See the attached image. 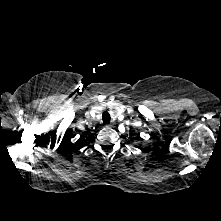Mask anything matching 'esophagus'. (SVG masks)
<instances>
[{"label": "esophagus", "instance_id": "obj_1", "mask_svg": "<svg viewBox=\"0 0 221 221\" xmlns=\"http://www.w3.org/2000/svg\"><path fill=\"white\" fill-rule=\"evenodd\" d=\"M105 126H106L107 128L112 127V125H110V124H106Z\"/></svg>", "mask_w": 221, "mask_h": 221}]
</instances>
